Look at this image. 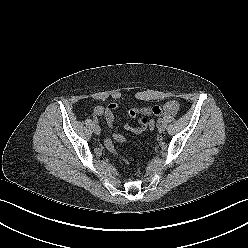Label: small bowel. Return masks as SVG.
Instances as JSON below:
<instances>
[{"mask_svg":"<svg viewBox=\"0 0 248 248\" xmlns=\"http://www.w3.org/2000/svg\"><path fill=\"white\" fill-rule=\"evenodd\" d=\"M117 108L116 103H110L106 106H97L94 109V115L97 117L104 116L109 127L113 126L114 122V110ZM178 110V104L175 101H170L163 106H145L141 108H133L129 111V115L132 118L138 119V126L131 127L130 125H125V129L132 131L136 134L143 133L147 128L149 116H160L166 113L173 114Z\"/></svg>","mask_w":248,"mask_h":248,"instance_id":"small-bowel-1","label":"small bowel"}]
</instances>
